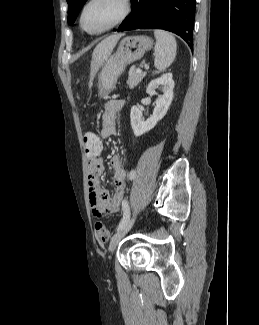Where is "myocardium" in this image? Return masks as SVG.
<instances>
[{
  "instance_id": "myocardium-1",
  "label": "myocardium",
  "mask_w": 259,
  "mask_h": 325,
  "mask_svg": "<svg viewBox=\"0 0 259 325\" xmlns=\"http://www.w3.org/2000/svg\"><path fill=\"white\" fill-rule=\"evenodd\" d=\"M94 0H87L84 2V4L82 5L80 11H79V17H78V22H79V27L80 29L89 34V35H99L102 33H105L113 28H115L116 26L120 25L121 23H123L127 17L129 16V14L131 13V9H132V4H131V0H121L122 3V13L121 15L111 24H109L108 26L97 30V31H89L85 28L84 23H83V17H84V13L85 10L87 9V7L93 2Z\"/></svg>"
}]
</instances>
